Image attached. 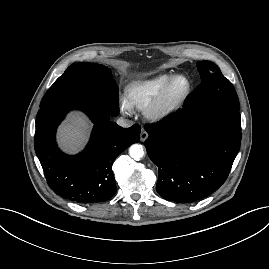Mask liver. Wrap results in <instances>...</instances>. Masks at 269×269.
I'll use <instances>...</instances> for the list:
<instances>
[{
  "label": "liver",
  "instance_id": "obj_1",
  "mask_svg": "<svg viewBox=\"0 0 269 269\" xmlns=\"http://www.w3.org/2000/svg\"><path fill=\"white\" fill-rule=\"evenodd\" d=\"M90 124L87 119L79 113H71L68 120L58 130V141L60 146L69 153L80 151L85 145Z\"/></svg>",
  "mask_w": 269,
  "mask_h": 269
}]
</instances>
